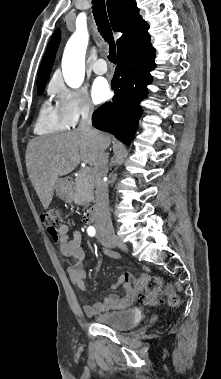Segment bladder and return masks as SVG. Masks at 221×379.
Here are the masks:
<instances>
[{"label": "bladder", "mask_w": 221, "mask_h": 379, "mask_svg": "<svg viewBox=\"0 0 221 379\" xmlns=\"http://www.w3.org/2000/svg\"><path fill=\"white\" fill-rule=\"evenodd\" d=\"M92 319L98 324L116 330H128L141 321L142 314L137 309L130 308L101 312L94 315Z\"/></svg>", "instance_id": "31cf9c89"}]
</instances>
